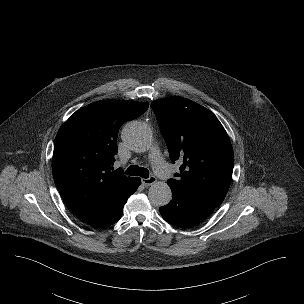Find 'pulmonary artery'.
Segmentation results:
<instances>
[{"label": "pulmonary artery", "mask_w": 304, "mask_h": 304, "mask_svg": "<svg viewBox=\"0 0 304 304\" xmlns=\"http://www.w3.org/2000/svg\"><path fill=\"white\" fill-rule=\"evenodd\" d=\"M150 157L155 172L163 179L169 178L172 174L171 167L164 160L160 150L157 147L152 148Z\"/></svg>", "instance_id": "1"}]
</instances>
